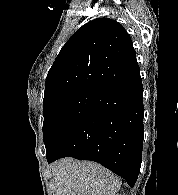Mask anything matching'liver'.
Wrapping results in <instances>:
<instances>
[{"instance_id":"obj_1","label":"liver","mask_w":178,"mask_h":195,"mask_svg":"<svg viewBox=\"0 0 178 195\" xmlns=\"http://www.w3.org/2000/svg\"><path fill=\"white\" fill-rule=\"evenodd\" d=\"M55 195H116L122 181L96 162L64 158L52 165Z\"/></svg>"}]
</instances>
